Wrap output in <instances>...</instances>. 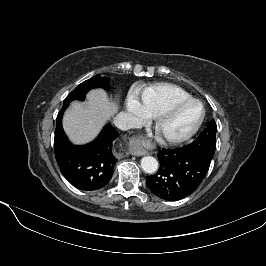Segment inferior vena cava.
Here are the masks:
<instances>
[{"label":"inferior vena cava","mask_w":266,"mask_h":266,"mask_svg":"<svg viewBox=\"0 0 266 266\" xmlns=\"http://www.w3.org/2000/svg\"><path fill=\"white\" fill-rule=\"evenodd\" d=\"M114 124L116 127H118L121 130H128L130 128H138L140 126V123L138 119L125 112L119 113L115 118H114Z\"/></svg>","instance_id":"1"}]
</instances>
